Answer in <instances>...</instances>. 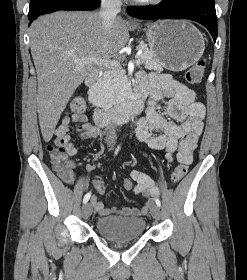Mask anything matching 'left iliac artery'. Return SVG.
Wrapping results in <instances>:
<instances>
[{"label":"left iliac artery","mask_w":247,"mask_h":280,"mask_svg":"<svg viewBox=\"0 0 247 280\" xmlns=\"http://www.w3.org/2000/svg\"><path fill=\"white\" fill-rule=\"evenodd\" d=\"M155 202H156V205H157L158 207L161 206V202H160V200H159L157 197H155Z\"/></svg>","instance_id":"left-iliac-artery-1"}]
</instances>
